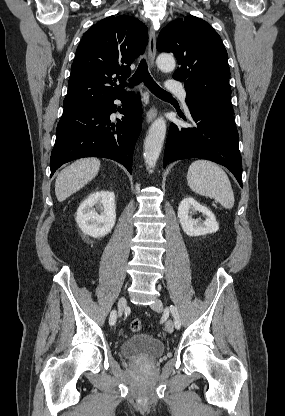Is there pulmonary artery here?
<instances>
[{
  "label": "pulmonary artery",
  "instance_id": "obj_1",
  "mask_svg": "<svg viewBox=\"0 0 285 416\" xmlns=\"http://www.w3.org/2000/svg\"><path fill=\"white\" fill-rule=\"evenodd\" d=\"M168 87L171 89L170 93L171 94L176 93L186 108L187 91L185 87L182 84H176V83L170 84Z\"/></svg>",
  "mask_w": 285,
  "mask_h": 416
}]
</instances>
